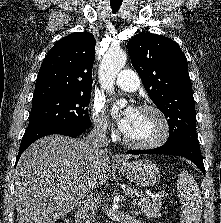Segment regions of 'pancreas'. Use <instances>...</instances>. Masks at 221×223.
I'll return each mask as SVG.
<instances>
[{"mask_svg":"<svg viewBox=\"0 0 221 223\" xmlns=\"http://www.w3.org/2000/svg\"><path fill=\"white\" fill-rule=\"evenodd\" d=\"M129 194L136 196L135 201L138 202L140 212L149 218H157L161 216L162 203L160 200L151 199L137 189L128 187L126 190Z\"/></svg>","mask_w":221,"mask_h":223,"instance_id":"obj_1","label":"pancreas"}]
</instances>
